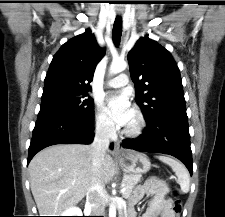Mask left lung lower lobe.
I'll list each match as a JSON object with an SVG mask.
<instances>
[{
	"label": "left lung lower lobe",
	"mask_w": 225,
	"mask_h": 217,
	"mask_svg": "<svg viewBox=\"0 0 225 217\" xmlns=\"http://www.w3.org/2000/svg\"><path fill=\"white\" fill-rule=\"evenodd\" d=\"M147 127L136 139L122 142L124 148L169 154L178 158L193 173L192 151L186 113L164 115L146 120Z\"/></svg>",
	"instance_id": "left-lung-lower-lobe-1"
}]
</instances>
